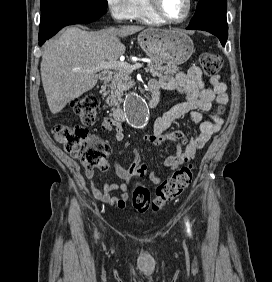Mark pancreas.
I'll use <instances>...</instances> for the list:
<instances>
[{"mask_svg": "<svg viewBox=\"0 0 272 282\" xmlns=\"http://www.w3.org/2000/svg\"><path fill=\"white\" fill-rule=\"evenodd\" d=\"M145 70L146 72L151 73L154 77H161L163 75H174L177 71H179V67L170 64L163 66L162 63L159 62H150ZM133 84L130 72L126 70H118L114 72L109 85L110 95L107 97V103L109 105H119L122 100L123 93L130 89Z\"/></svg>", "mask_w": 272, "mask_h": 282, "instance_id": "obj_1", "label": "pancreas"}]
</instances>
